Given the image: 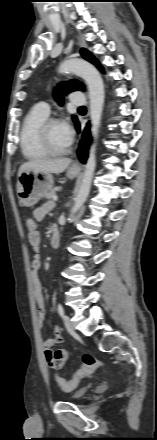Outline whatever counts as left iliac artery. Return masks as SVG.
Masks as SVG:
<instances>
[{"instance_id": "44dca946", "label": "left iliac artery", "mask_w": 157, "mask_h": 440, "mask_svg": "<svg viewBox=\"0 0 157 440\" xmlns=\"http://www.w3.org/2000/svg\"><path fill=\"white\" fill-rule=\"evenodd\" d=\"M57 309H58V313H59V315H60L61 317H63V316H64V308H63V306H62L61 304H58Z\"/></svg>"}]
</instances>
